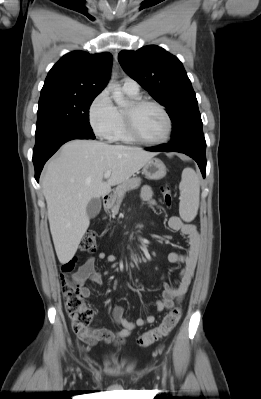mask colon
<instances>
[{"label": "colon", "mask_w": 261, "mask_h": 399, "mask_svg": "<svg viewBox=\"0 0 261 399\" xmlns=\"http://www.w3.org/2000/svg\"><path fill=\"white\" fill-rule=\"evenodd\" d=\"M162 198L166 206L172 205V193L168 186L161 189ZM97 246V236L94 232L86 233L80 242V249L84 252H93ZM75 263L69 261L62 266V293L65 300L66 312L71 320L73 331L78 337H89V325L93 318V309L84 302L80 289L68 278V274L74 270ZM181 317V308H173L155 328L143 333L138 338L140 347H149L156 341L166 337L177 325Z\"/></svg>", "instance_id": "5ec220e1"}]
</instances>
